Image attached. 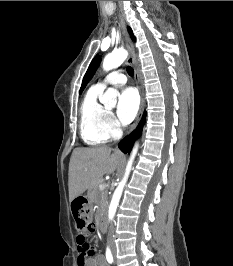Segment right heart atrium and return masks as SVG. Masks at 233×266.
Here are the masks:
<instances>
[{
  "label": "right heart atrium",
  "instance_id": "1",
  "mask_svg": "<svg viewBox=\"0 0 233 266\" xmlns=\"http://www.w3.org/2000/svg\"><path fill=\"white\" fill-rule=\"evenodd\" d=\"M105 131L109 137H115L120 132V124L111 112H108L106 116Z\"/></svg>",
  "mask_w": 233,
  "mask_h": 266
}]
</instances>
